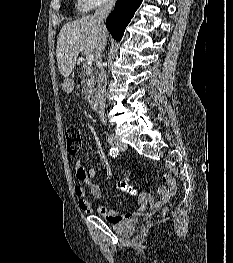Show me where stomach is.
<instances>
[{"label":"stomach","instance_id":"obj_1","mask_svg":"<svg viewBox=\"0 0 233 263\" xmlns=\"http://www.w3.org/2000/svg\"><path fill=\"white\" fill-rule=\"evenodd\" d=\"M61 87L64 88L65 91L70 92L73 89V81L65 78V80H62Z\"/></svg>","mask_w":233,"mask_h":263}]
</instances>
